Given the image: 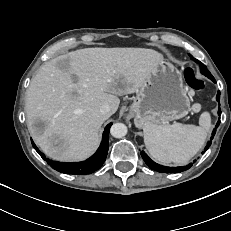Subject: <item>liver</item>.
I'll use <instances>...</instances> for the list:
<instances>
[{
	"label": "liver",
	"instance_id": "1",
	"mask_svg": "<svg viewBox=\"0 0 231 231\" xmlns=\"http://www.w3.org/2000/svg\"><path fill=\"white\" fill-rule=\"evenodd\" d=\"M163 60L162 54L146 48H86L46 62L26 96L34 141L54 160L88 158L100 143L99 129L107 119L100 107L107 104L114 114L118 96L138 93ZM37 120L46 123L43 131L34 127Z\"/></svg>",
	"mask_w": 231,
	"mask_h": 231
}]
</instances>
